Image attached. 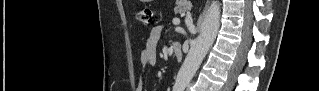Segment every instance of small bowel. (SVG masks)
Listing matches in <instances>:
<instances>
[{"mask_svg": "<svg viewBox=\"0 0 319 91\" xmlns=\"http://www.w3.org/2000/svg\"><path fill=\"white\" fill-rule=\"evenodd\" d=\"M162 30L161 25H157L151 29L146 44L140 54V63L143 67L156 65L157 46L162 35Z\"/></svg>", "mask_w": 319, "mask_h": 91, "instance_id": "c3829d8e", "label": "small bowel"}]
</instances>
